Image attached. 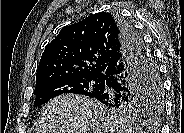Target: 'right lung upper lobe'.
Segmentation results:
<instances>
[{
    "label": "right lung upper lobe",
    "mask_w": 184,
    "mask_h": 133,
    "mask_svg": "<svg viewBox=\"0 0 184 133\" xmlns=\"http://www.w3.org/2000/svg\"><path fill=\"white\" fill-rule=\"evenodd\" d=\"M120 45L121 29L108 12L89 15L62 28L45 47L35 89L60 78L103 75Z\"/></svg>",
    "instance_id": "cb5924a9"
}]
</instances>
